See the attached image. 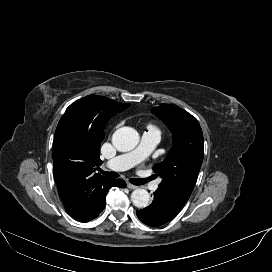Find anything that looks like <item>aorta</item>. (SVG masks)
Masks as SVG:
<instances>
[{
  "label": "aorta",
  "mask_w": 272,
  "mask_h": 272,
  "mask_svg": "<svg viewBox=\"0 0 272 272\" xmlns=\"http://www.w3.org/2000/svg\"><path fill=\"white\" fill-rule=\"evenodd\" d=\"M139 142V135L132 127H122L116 130L112 136L113 146L120 152H127L134 149ZM134 206L145 208L150 201V195L145 189H135L131 194Z\"/></svg>",
  "instance_id": "obj_1"
}]
</instances>
